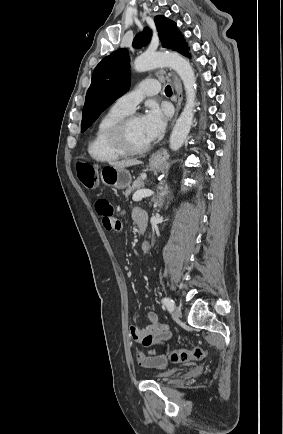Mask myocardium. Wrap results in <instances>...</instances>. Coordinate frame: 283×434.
Listing matches in <instances>:
<instances>
[{"label": "myocardium", "instance_id": "f54148a6", "mask_svg": "<svg viewBox=\"0 0 283 434\" xmlns=\"http://www.w3.org/2000/svg\"><path fill=\"white\" fill-rule=\"evenodd\" d=\"M138 117L137 114H128L120 119L111 129L110 139L112 144L125 155L143 154L151 147L150 143L143 146H135L130 141L129 126Z\"/></svg>", "mask_w": 283, "mask_h": 434}]
</instances>
